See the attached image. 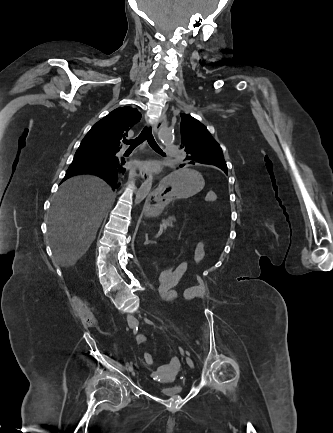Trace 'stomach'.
I'll use <instances>...</instances> for the list:
<instances>
[{
    "label": "stomach",
    "mask_w": 333,
    "mask_h": 433,
    "mask_svg": "<svg viewBox=\"0 0 333 433\" xmlns=\"http://www.w3.org/2000/svg\"><path fill=\"white\" fill-rule=\"evenodd\" d=\"M198 169H174L172 174L162 176L161 183L153 188L145 212L148 220H158L172 199H187L203 188ZM165 199L167 201H165Z\"/></svg>",
    "instance_id": "obj_1"
}]
</instances>
